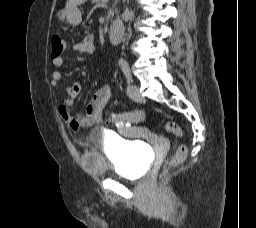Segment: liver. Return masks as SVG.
<instances>
[{
	"mask_svg": "<svg viewBox=\"0 0 256 228\" xmlns=\"http://www.w3.org/2000/svg\"><path fill=\"white\" fill-rule=\"evenodd\" d=\"M87 0H67L66 2V8L71 9L73 7H76L82 3H84Z\"/></svg>",
	"mask_w": 256,
	"mask_h": 228,
	"instance_id": "1",
	"label": "liver"
}]
</instances>
